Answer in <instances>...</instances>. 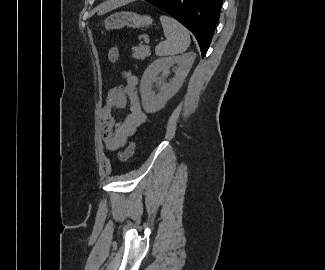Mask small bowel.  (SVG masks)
<instances>
[{"mask_svg":"<svg viewBox=\"0 0 325 270\" xmlns=\"http://www.w3.org/2000/svg\"><path fill=\"white\" fill-rule=\"evenodd\" d=\"M137 85V77L128 74L125 83L113 87L108 93L101 113L102 138L108 150L123 147L147 120L137 96ZM126 107L129 108V113L121 123H117L114 110Z\"/></svg>","mask_w":325,"mask_h":270,"instance_id":"c3829d8e","label":"small bowel"}]
</instances>
